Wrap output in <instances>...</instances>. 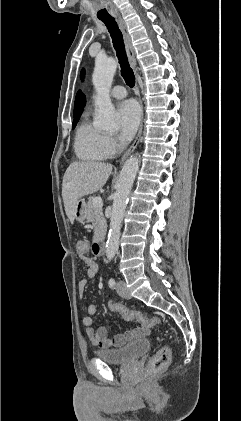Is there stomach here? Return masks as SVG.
I'll use <instances>...</instances> for the list:
<instances>
[{
	"label": "stomach",
	"instance_id": "stomach-1",
	"mask_svg": "<svg viewBox=\"0 0 241 421\" xmlns=\"http://www.w3.org/2000/svg\"><path fill=\"white\" fill-rule=\"evenodd\" d=\"M87 217V205L83 199L78 200L75 210L74 219L79 222H83Z\"/></svg>",
	"mask_w": 241,
	"mask_h": 421
}]
</instances>
